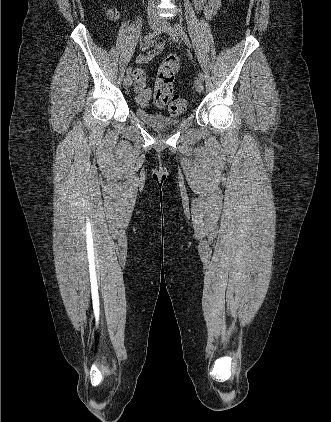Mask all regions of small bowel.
Listing matches in <instances>:
<instances>
[{
  "label": "small bowel",
  "mask_w": 331,
  "mask_h": 422,
  "mask_svg": "<svg viewBox=\"0 0 331 422\" xmlns=\"http://www.w3.org/2000/svg\"><path fill=\"white\" fill-rule=\"evenodd\" d=\"M193 4L198 13H203L207 19H212L221 8L222 0H193ZM164 45L165 41L162 38L140 43L139 46L143 52L136 58V62L138 64L147 63L155 56L161 54ZM134 88L137 93V103L143 105L140 97L146 96L150 98L151 94L150 88L146 85L145 76L142 78L134 76Z\"/></svg>",
  "instance_id": "1"
}]
</instances>
